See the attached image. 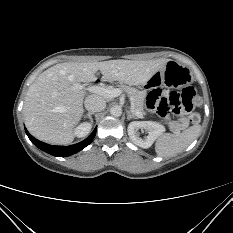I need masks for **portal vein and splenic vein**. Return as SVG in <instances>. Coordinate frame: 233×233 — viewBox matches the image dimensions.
Segmentation results:
<instances>
[{"mask_svg": "<svg viewBox=\"0 0 233 233\" xmlns=\"http://www.w3.org/2000/svg\"><path fill=\"white\" fill-rule=\"evenodd\" d=\"M87 90L92 92V93L100 94L101 96H103L105 98H109V99L118 97L122 93V90L120 88L108 89V88H104V87H100V86H90L87 88ZM131 109L137 117H139V118L143 117L141 112L133 110L132 104H131Z\"/></svg>", "mask_w": 233, "mask_h": 233, "instance_id": "1", "label": "portal vein and splenic vein"}]
</instances>
